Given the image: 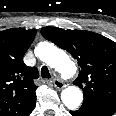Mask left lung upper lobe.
<instances>
[{"instance_id":"1","label":"left lung upper lobe","mask_w":116,"mask_h":116,"mask_svg":"<svg viewBox=\"0 0 116 116\" xmlns=\"http://www.w3.org/2000/svg\"><path fill=\"white\" fill-rule=\"evenodd\" d=\"M43 37L68 51L81 68L73 82L83 89L84 101L116 103V43L90 31L41 29Z\"/></svg>"}]
</instances>
